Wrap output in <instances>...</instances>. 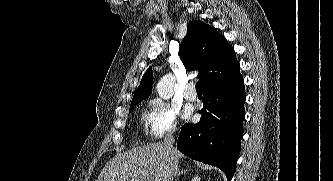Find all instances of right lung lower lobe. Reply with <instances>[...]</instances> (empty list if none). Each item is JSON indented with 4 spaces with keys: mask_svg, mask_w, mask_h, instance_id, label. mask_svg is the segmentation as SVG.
Masks as SVG:
<instances>
[{
    "mask_svg": "<svg viewBox=\"0 0 333 181\" xmlns=\"http://www.w3.org/2000/svg\"><path fill=\"white\" fill-rule=\"evenodd\" d=\"M245 98L240 73L203 89L201 119L197 124L182 126L177 149L192 159L218 167L230 181L243 137Z\"/></svg>",
    "mask_w": 333,
    "mask_h": 181,
    "instance_id": "obj_1",
    "label": "right lung lower lobe"
}]
</instances>
